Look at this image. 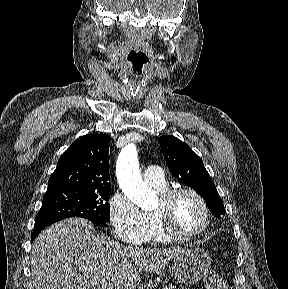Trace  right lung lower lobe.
<instances>
[{
    "mask_svg": "<svg viewBox=\"0 0 288 289\" xmlns=\"http://www.w3.org/2000/svg\"><path fill=\"white\" fill-rule=\"evenodd\" d=\"M44 227L41 228H35L32 235H31V240L33 241L35 239V237L42 231Z\"/></svg>",
    "mask_w": 288,
    "mask_h": 289,
    "instance_id": "obj_1",
    "label": "right lung lower lobe"
}]
</instances>
